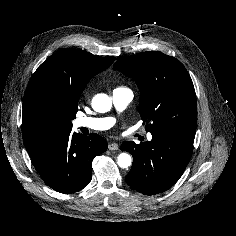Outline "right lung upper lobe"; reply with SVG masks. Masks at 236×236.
<instances>
[{
  "label": "right lung upper lobe",
  "mask_w": 236,
  "mask_h": 236,
  "mask_svg": "<svg viewBox=\"0 0 236 236\" xmlns=\"http://www.w3.org/2000/svg\"><path fill=\"white\" fill-rule=\"evenodd\" d=\"M114 60L115 57H99L79 49H61L48 57L31 77L25 92L22 111L24 143L45 137L31 123L39 97H47L59 106L78 111V100L90 79L107 69Z\"/></svg>",
  "instance_id": "obj_1"
}]
</instances>
